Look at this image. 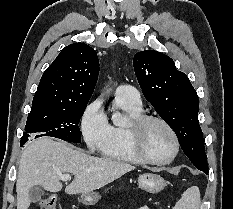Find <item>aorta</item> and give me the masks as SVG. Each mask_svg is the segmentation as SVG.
<instances>
[{
	"instance_id": "762f6f07",
	"label": "aorta",
	"mask_w": 233,
	"mask_h": 209,
	"mask_svg": "<svg viewBox=\"0 0 233 209\" xmlns=\"http://www.w3.org/2000/svg\"><path fill=\"white\" fill-rule=\"evenodd\" d=\"M112 121L116 126H122L125 124V118L118 112L113 113Z\"/></svg>"
}]
</instances>
